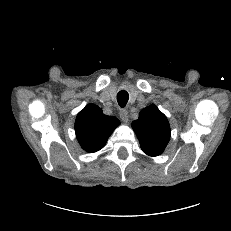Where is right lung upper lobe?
I'll return each instance as SVG.
<instances>
[{"label":"right lung upper lobe","instance_id":"1","mask_svg":"<svg viewBox=\"0 0 231 231\" xmlns=\"http://www.w3.org/2000/svg\"><path fill=\"white\" fill-rule=\"evenodd\" d=\"M120 121L113 116L103 114L102 109L88 104L77 115L75 121L76 138L87 152H96L104 147Z\"/></svg>","mask_w":231,"mask_h":231}]
</instances>
